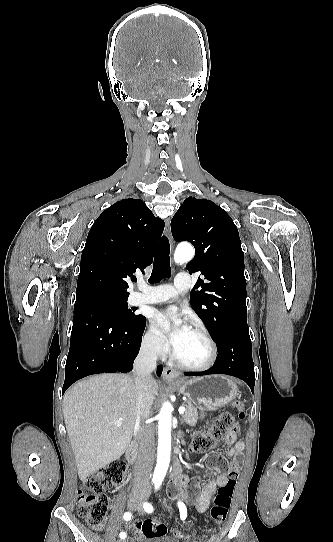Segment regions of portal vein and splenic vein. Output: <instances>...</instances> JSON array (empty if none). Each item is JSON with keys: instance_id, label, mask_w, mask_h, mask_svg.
Segmentation results:
<instances>
[{"instance_id": "portal-vein-and-splenic-vein-1", "label": "portal vein and splenic vein", "mask_w": 333, "mask_h": 542, "mask_svg": "<svg viewBox=\"0 0 333 542\" xmlns=\"http://www.w3.org/2000/svg\"><path fill=\"white\" fill-rule=\"evenodd\" d=\"M179 414H185L186 408L184 406H180L178 410ZM115 426H122V422H114Z\"/></svg>"}]
</instances>
